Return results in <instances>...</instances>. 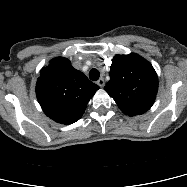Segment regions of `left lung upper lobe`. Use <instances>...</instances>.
<instances>
[{"label":"left lung upper lobe","mask_w":187,"mask_h":187,"mask_svg":"<svg viewBox=\"0 0 187 187\" xmlns=\"http://www.w3.org/2000/svg\"><path fill=\"white\" fill-rule=\"evenodd\" d=\"M104 89L124 114L140 115L155 101L158 77L153 66L138 54L116 55Z\"/></svg>","instance_id":"1"}]
</instances>
